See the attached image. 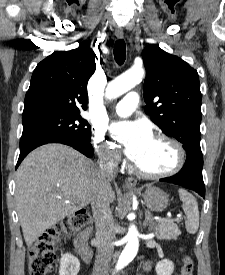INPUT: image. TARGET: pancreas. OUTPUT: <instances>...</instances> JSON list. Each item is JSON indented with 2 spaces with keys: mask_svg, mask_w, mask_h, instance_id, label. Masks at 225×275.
Listing matches in <instances>:
<instances>
[{
  "mask_svg": "<svg viewBox=\"0 0 225 275\" xmlns=\"http://www.w3.org/2000/svg\"><path fill=\"white\" fill-rule=\"evenodd\" d=\"M153 224L156 236L160 240L175 239L181 234L178 225L172 221H157Z\"/></svg>",
  "mask_w": 225,
  "mask_h": 275,
  "instance_id": "pancreas-1",
  "label": "pancreas"
}]
</instances>
